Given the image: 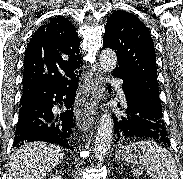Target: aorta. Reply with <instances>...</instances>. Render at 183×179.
Instances as JSON below:
<instances>
[{
	"instance_id": "762f6f07",
	"label": "aorta",
	"mask_w": 183,
	"mask_h": 179,
	"mask_svg": "<svg viewBox=\"0 0 183 179\" xmlns=\"http://www.w3.org/2000/svg\"><path fill=\"white\" fill-rule=\"evenodd\" d=\"M100 65L105 72H112L117 65L116 54L112 50H103L100 54ZM113 137V120L110 114L105 111L101 116L96 139H95V158L102 161L108 153Z\"/></svg>"
}]
</instances>
